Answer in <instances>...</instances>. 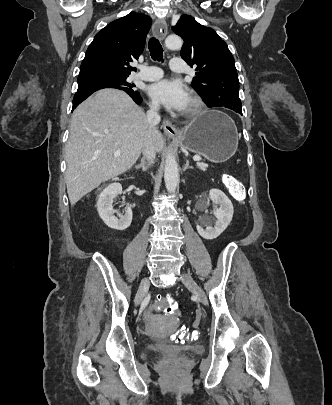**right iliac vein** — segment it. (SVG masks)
<instances>
[{"label": "right iliac vein", "mask_w": 332, "mask_h": 405, "mask_svg": "<svg viewBox=\"0 0 332 405\" xmlns=\"http://www.w3.org/2000/svg\"><path fill=\"white\" fill-rule=\"evenodd\" d=\"M148 287H149V279L145 278L141 281L139 289L135 296V305L136 306H138L140 304V302L142 301L146 291L148 290Z\"/></svg>", "instance_id": "right-iliac-vein-1"}]
</instances>
